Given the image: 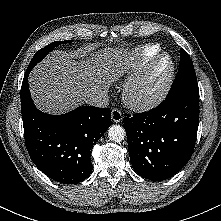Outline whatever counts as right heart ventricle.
<instances>
[{
	"instance_id": "obj_1",
	"label": "right heart ventricle",
	"mask_w": 221,
	"mask_h": 221,
	"mask_svg": "<svg viewBox=\"0 0 221 221\" xmlns=\"http://www.w3.org/2000/svg\"><path fill=\"white\" fill-rule=\"evenodd\" d=\"M161 50V47L157 44H148L140 50V63L139 66L144 65L146 62L150 61L155 57Z\"/></svg>"
}]
</instances>
